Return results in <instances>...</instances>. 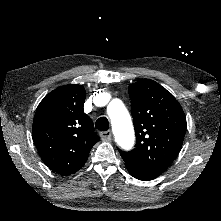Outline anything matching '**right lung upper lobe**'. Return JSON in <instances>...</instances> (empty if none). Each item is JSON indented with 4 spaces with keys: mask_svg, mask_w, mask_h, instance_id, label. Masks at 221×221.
<instances>
[{
    "mask_svg": "<svg viewBox=\"0 0 221 221\" xmlns=\"http://www.w3.org/2000/svg\"><path fill=\"white\" fill-rule=\"evenodd\" d=\"M85 98L81 85L58 87L40 102L34 116L32 136L38 152L61 175L77 172L100 140L91 118L83 112Z\"/></svg>",
    "mask_w": 221,
    "mask_h": 221,
    "instance_id": "1",
    "label": "right lung upper lobe"
}]
</instances>
